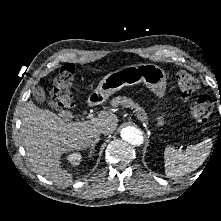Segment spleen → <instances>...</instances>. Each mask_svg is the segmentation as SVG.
Listing matches in <instances>:
<instances>
[{"mask_svg": "<svg viewBox=\"0 0 221 221\" xmlns=\"http://www.w3.org/2000/svg\"><path fill=\"white\" fill-rule=\"evenodd\" d=\"M212 145L211 138H207L198 144L188 146L185 151L167 146L164 151L166 176L176 179L195 171L210 154Z\"/></svg>", "mask_w": 221, "mask_h": 221, "instance_id": "spleen-1", "label": "spleen"}]
</instances>
